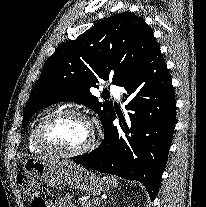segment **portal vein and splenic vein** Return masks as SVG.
I'll return each instance as SVG.
<instances>
[{
	"mask_svg": "<svg viewBox=\"0 0 206 207\" xmlns=\"http://www.w3.org/2000/svg\"><path fill=\"white\" fill-rule=\"evenodd\" d=\"M95 202L97 205L101 203L100 200H96Z\"/></svg>",
	"mask_w": 206,
	"mask_h": 207,
	"instance_id": "18ae733b",
	"label": "portal vein and splenic vein"
}]
</instances>
